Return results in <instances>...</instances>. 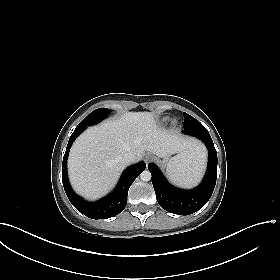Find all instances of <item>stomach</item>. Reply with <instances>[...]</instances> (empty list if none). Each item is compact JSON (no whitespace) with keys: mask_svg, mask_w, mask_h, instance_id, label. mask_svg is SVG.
Here are the masks:
<instances>
[{"mask_svg":"<svg viewBox=\"0 0 280 280\" xmlns=\"http://www.w3.org/2000/svg\"><path fill=\"white\" fill-rule=\"evenodd\" d=\"M170 156H171V155H170ZM170 156L163 158V161H162V164H163V165H166L168 162L170 163L171 161H173V160L176 158V156L173 157V158H170ZM169 163H168V164H169Z\"/></svg>","mask_w":280,"mask_h":280,"instance_id":"1","label":"stomach"}]
</instances>
